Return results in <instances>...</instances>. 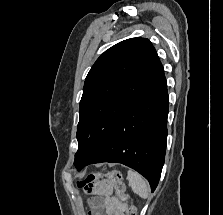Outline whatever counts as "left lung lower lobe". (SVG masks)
Returning a JSON list of instances; mask_svg holds the SVG:
<instances>
[{
	"label": "left lung lower lobe",
	"mask_w": 223,
	"mask_h": 215,
	"mask_svg": "<svg viewBox=\"0 0 223 215\" xmlns=\"http://www.w3.org/2000/svg\"><path fill=\"white\" fill-rule=\"evenodd\" d=\"M167 115L168 92L162 67L86 165L122 163L143 175L154 192L164 164Z\"/></svg>",
	"instance_id": "0a47b994"
}]
</instances>
